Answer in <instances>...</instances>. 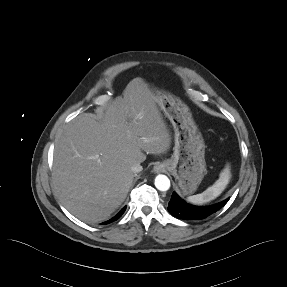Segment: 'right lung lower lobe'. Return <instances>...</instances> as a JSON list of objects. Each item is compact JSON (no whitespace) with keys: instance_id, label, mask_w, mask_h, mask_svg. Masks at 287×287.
<instances>
[{"instance_id":"98d812e1","label":"right lung lower lobe","mask_w":287,"mask_h":287,"mask_svg":"<svg viewBox=\"0 0 287 287\" xmlns=\"http://www.w3.org/2000/svg\"><path fill=\"white\" fill-rule=\"evenodd\" d=\"M125 210H126V206L123 207V208L120 210V212L117 213L113 218H111L110 220L104 222V224H109V223H112L113 221L118 220V219L123 215V213L125 212Z\"/></svg>"}]
</instances>
